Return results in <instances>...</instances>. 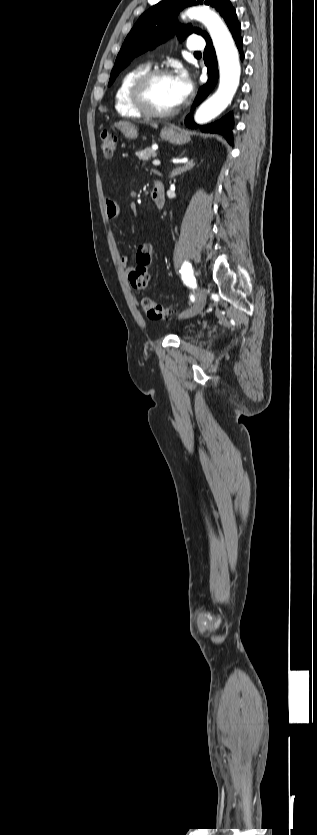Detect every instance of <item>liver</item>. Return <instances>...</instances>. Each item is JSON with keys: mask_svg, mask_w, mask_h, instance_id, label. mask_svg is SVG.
<instances>
[{"mask_svg": "<svg viewBox=\"0 0 317 835\" xmlns=\"http://www.w3.org/2000/svg\"><path fill=\"white\" fill-rule=\"evenodd\" d=\"M151 126H152L153 128H157V127H158V126H157V124H151Z\"/></svg>", "mask_w": 317, "mask_h": 835, "instance_id": "liver-1", "label": "liver"}]
</instances>
